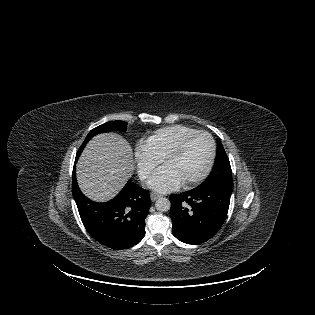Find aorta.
<instances>
[{"instance_id": "aorta-1", "label": "aorta", "mask_w": 315, "mask_h": 315, "mask_svg": "<svg viewBox=\"0 0 315 315\" xmlns=\"http://www.w3.org/2000/svg\"><path fill=\"white\" fill-rule=\"evenodd\" d=\"M155 207L160 212H167L170 210L171 203L169 199L161 197L155 202Z\"/></svg>"}]
</instances>
